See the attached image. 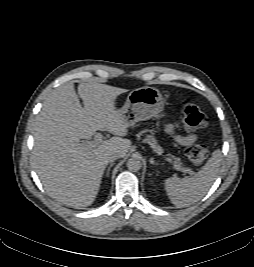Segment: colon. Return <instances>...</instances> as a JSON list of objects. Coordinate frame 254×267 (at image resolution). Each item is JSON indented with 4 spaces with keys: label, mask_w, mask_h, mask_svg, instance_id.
<instances>
[{
    "label": "colon",
    "mask_w": 254,
    "mask_h": 267,
    "mask_svg": "<svg viewBox=\"0 0 254 267\" xmlns=\"http://www.w3.org/2000/svg\"><path fill=\"white\" fill-rule=\"evenodd\" d=\"M208 124V116L196 105L188 102L184 103L182 125L185 130L193 131L202 129ZM186 156L194 166H200L208 158L209 150L203 144H192L186 149Z\"/></svg>",
    "instance_id": "obj_1"
}]
</instances>
